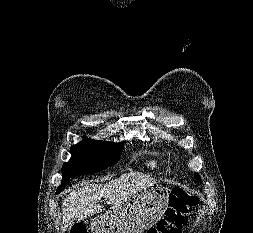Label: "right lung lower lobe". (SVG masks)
<instances>
[{
    "label": "right lung lower lobe",
    "instance_id": "1",
    "mask_svg": "<svg viewBox=\"0 0 253 233\" xmlns=\"http://www.w3.org/2000/svg\"><path fill=\"white\" fill-rule=\"evenodd\" d=\"M69 183V180L63 182L58 188H57V191H56V194H59L64 188L65 186Z\"/></svg>",
    "mask_w": 253,
    "mask_h": 233
}]
</instances>
